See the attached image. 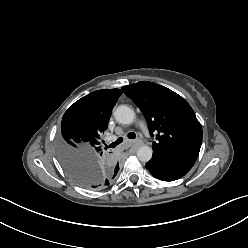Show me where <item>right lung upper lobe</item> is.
Wrapping results in <instances>:
<instances>
[{"mask_svg":"<svg viewBox=\"0 0 248 248\" xmlns=\"http://www.w3.org/2000/svg\"><path fill=\"white\" fill-rule=\"evenodd\" d=\"M121 94L120 89L94 91L70 106L61 123L63 155L68 158L74 153L93 160L110 174L111 180L117 175L119 165L106 150L108 147L102 145L101 135Z\"/></svg>","mask_w":248,"mask_h":248,"instance_id":"obj_1","label":"right lung upper lobe"}]
</instances>
